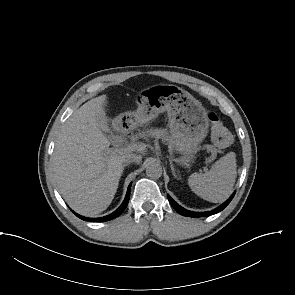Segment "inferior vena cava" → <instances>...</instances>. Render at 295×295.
<instances>
[{
    "instance_id": "obj_1",
    "label": "inferior vena cava",
    "mask_w": 295,
    "mask_h": 295,
    "mask_svg": "<svg viewBox=\"0 0 295 295\" xmlns=\"http://www.w3.org/2000/svg\"><path fill=\"white\" fill-rule=\"evenodd\" d=\"M141 159H142V156L141 155H138V154H134V153H129V154H126L123 158V163H132V162H135V163H140L141 162Z\"/></svg>"
}]
</instances>
